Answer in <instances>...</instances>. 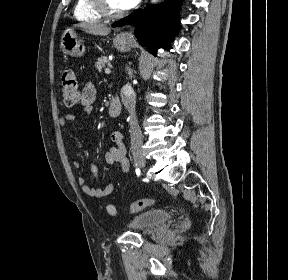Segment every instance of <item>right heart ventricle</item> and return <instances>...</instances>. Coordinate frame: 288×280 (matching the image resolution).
Segmentation results:
<instances>
[{"label": "right heart ventricle", "mask_w": 288, "mask_h": 280, "mask_svg": "<svg viewBox=\"0 0 288 280\" xmlns=\"http://www.w3.org/2000/svg\"><path fill=\"white\" fill-rule=\"evenodd\" d=\"M74 16L79 21L89 23L99 22L102 18L94 9L92 0H76Z\"/></svg>", "instance_id": "right-heart-ventricle-1"}]
</instances>
